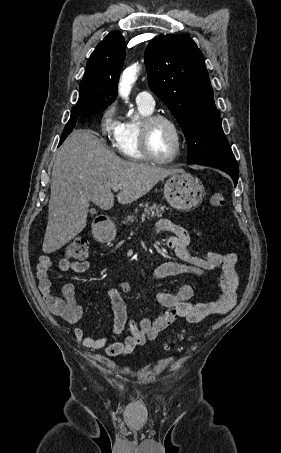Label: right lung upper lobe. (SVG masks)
Masks as SVG:
<instances>
[{
	"label": "right lung upper lobe",
	"instance_id": "right-lung-upper-lobe-1",
	"mask_svg": "<svg viewBox=\"0 0 281 453\" xmlns=\"http://www.w3.org/2000/svg\"><path fill=\"white\" fill-rule=\"evenodd\" d=\"M121 32L113 31L91 54L80 83V97L75 108L105 110L117 97V83L126 56Z\"/></svg>",
	"mask_w": 281,
	"mask_h": 453
}]
</instances>
